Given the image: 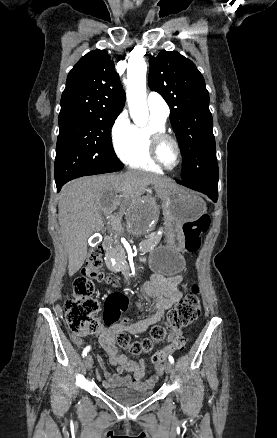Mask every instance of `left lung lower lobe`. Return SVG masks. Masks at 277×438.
Here are the masks:
<instances>
[{"mask_svg": "<svg viewBox=\"0 0 277 438\" xmlns=\"http://www.w3.org/2000/svg\"><path fill=\"white\" fill-rule=\"evenodd\" d=\"M179 184H182L188 188L193 190L202 192L206 194L210 199L214 202L217 201L218 198V185L214 184H205V183H186L182 181H177Z\"/></svg>", "mask_w": 277, "mask_h": 438, "instance_id": "obj_1", "label": "left lung lower lobe"}]
</instances>
